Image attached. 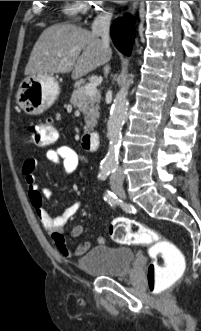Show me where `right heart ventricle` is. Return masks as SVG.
<instances>
[{"label": "right heart ventricle", "instance_id": "obj_1", "mask_svg": "<svg viewBox=\"0 0 201 331\" xmlns=\"http://www.w3.org/2000/svg\"><path fill=\"white\" fill-rule=\"evenodd\" d=\"M64 11L73 20H78L82 6L79 1H65Z\"/></svg>", "mask_w": 201, "mask_h": 331}]
</instances>
